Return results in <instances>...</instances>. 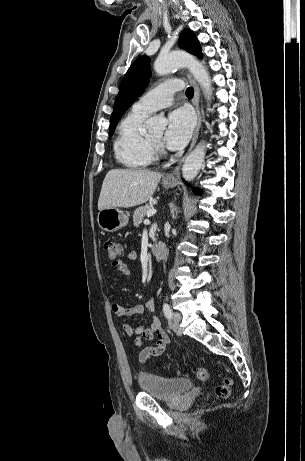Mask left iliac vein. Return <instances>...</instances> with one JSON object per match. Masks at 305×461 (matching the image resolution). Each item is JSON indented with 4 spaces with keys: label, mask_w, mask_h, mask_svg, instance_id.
I'll return each instance as SVG.
<instances>
[{
    "label": "left iliac vein",
    "mask_w": 305,
    "mask_h": 461,
    "mask_svg": "<svg viewBox=\"0 0 305 461\" xmlns=\"http://www.w3.org/2000/svg\"><path fill=\"white\" fill-rule=\"evenodd\" d=\"M182 317L178 312L173 313L171 328L177 335H182V329L180 327V321Z\"/></svg>",
    "instance_id": "4c4485c4"
}]
</instances>
